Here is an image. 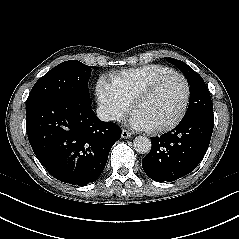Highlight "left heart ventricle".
<instances>
[{
    "label": "left heart ventricle",
    "instance_id": "left-heart-ventricle-1",
    "mask_svg": "<svg viewBox=\"0 0 239 239\" xmlns=\"http://www.w3.org/2000/svg\"><path fill=\"white\" fill-rule=\"evenodd\" d=\"M184 97L185 86L182 79L176 76L168 77L149 98L137 106L134 114L149 127L164 125L178 115Z\"/></svg>",
    "mask_w": 239,
    "mask_h": 239
}]
</instances>
